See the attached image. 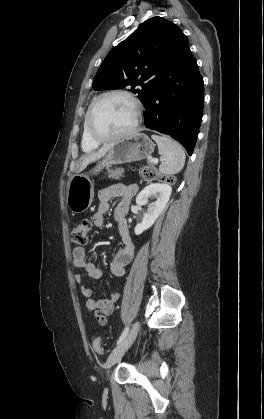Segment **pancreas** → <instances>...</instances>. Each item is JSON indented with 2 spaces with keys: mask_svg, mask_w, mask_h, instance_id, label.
Instances as JSON below:
<instances>
[{
  "mask_svg": "<svg viewBox=\"0 0 264 419\" xmlns=\"http://www.w3.org/2000/svg\"><path fill=\"white\" fill-rule=\"evenodd\" d=\"M123 173H124V169H122V168H116L114 170L110 169V170H108V177L112 178V179H115V180H118V179H120V177L123 176Z\"/></svg>",
  "mask_w": 264,
  "mask_h": 419,
  "instance_id": "cf45deb5",
  "label": "pancreas"
}]
</instances>
